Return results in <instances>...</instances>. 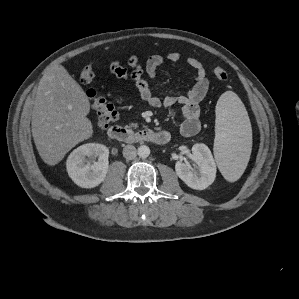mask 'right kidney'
<instances>
[{
	"label": "right kidney",
	"instance_id": "ca27d5eb",
	"mask_svg": "<svg viewBox=\"0 0 299 299\" xmlns=\"http://www.w3.org/2000/svg\"><path fill=\"white\" fill-rule=\"evenodd\" d=\"M108 156L109 149L102 144L87 143L79 146L71 152L66 161L69 177L82 188L98 186L108 172Z\"/></svg>",
	"mask_w": 299,
	"mask_h": 299
}]
</instances>
